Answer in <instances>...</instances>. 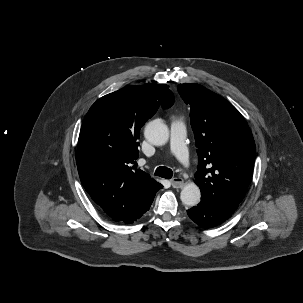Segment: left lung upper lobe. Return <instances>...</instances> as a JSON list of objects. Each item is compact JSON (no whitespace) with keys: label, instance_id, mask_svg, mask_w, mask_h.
Wrapping results in <instances>:
<instances>
[{"label":"left lung upper lobe","instance_id":"left-lung-upper-lobe-1","mask_svg":"<svg viewBox=\"0 0 303 303\" xmlns=\"http://www.w3.org/2000/svg\"><path fill=\"white\" fill-rule=\"evenodd\" d=\"M178 91L191 107L198 166L195 183L202 197L234 212L251 181L255 143L239 111L220 95L199 84H179Z\"/></svg>","mask_w":303,"mask_h":303}]
</instances>
